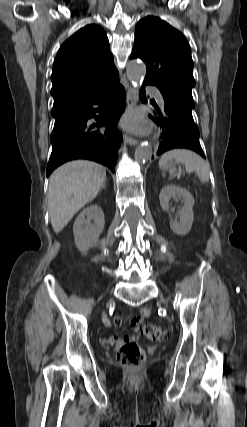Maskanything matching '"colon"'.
Returning <instances> with one entry per match:
<instances>
[{"mask_svg":"<svg viewBox=\"0 0 247 427\" xmlns=\"http://www.w3.org/2000/svg\"><path fill=\"white\" fill-rule=\"evenodd\" d=\"M143 334L151 341H161L166 332L156 325L147 323L143 326ZM145 355L140 346L134 342H126L117 351V360L128 368H137L144 361Z\"/></svg>","mask_w":247,"mask_h":427,"instance_id":"colon-1","label":"colon"}]
</instances>
